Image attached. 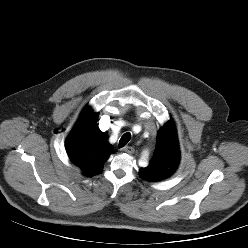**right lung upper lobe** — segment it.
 <instances>
[{
  "mask_svg": "<svg viewBox=\"0 0 248 248\" xmlns=\"http://www.w3.org/2000/svg\"><path fill=\"white\" fill-rule=\"evenodd\" d=\"M97 120V113L85 107L65 145L69 158L88 177L99 174L104 162L113 153L107 135L99 129Z\"/></svg>",
  "mask_w": 248,
  "mask_h": 248,
  "instance_id": "obj_1",
  "label": "right lung upper lobe"
}]
</instances>
